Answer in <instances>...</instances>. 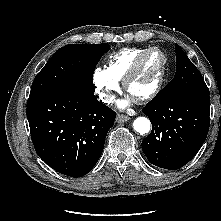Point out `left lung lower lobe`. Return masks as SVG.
I'll return each mask as SVG.
<instances>
[{
  "label": "left lung lower lobe",
  "mask_w": 221,
  "mask_h": 221,
  "mask_svg": "<svg viewBox=\"0 0 221 221\" xmlns=\"http://www.w3.org/2000/svg\"><path fill=\"white\" fill-rule=\"evenodd\" d=\"M152 132L142 141L149 162L176 170L187 164L204 143L209 129L210 97L185 94L152 100L142 110Z\"/></svg>",
  "instance_id": "0a47b994"
}]
</instances>
